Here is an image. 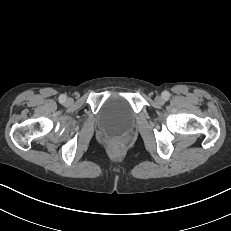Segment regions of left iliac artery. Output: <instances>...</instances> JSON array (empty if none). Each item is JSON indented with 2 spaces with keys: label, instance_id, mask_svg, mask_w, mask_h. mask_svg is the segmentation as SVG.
<instances>
[{
  "label": "left iliac artery",
  "instance_id": "44dca946",
  "mask_svg": "<svg viewBox=\"0 0 231 231\" xmlns=\"http://www.w3.org/2000/svg\"><path fill=\"white\" fill-rule=\"evenodd\" d=\"M162 97L164 100H168L170 98V93L168 91H163L162 92Z\"/></svg>",
  "mask_w": 231,
  "mask_h": 231
}]
</instances>
